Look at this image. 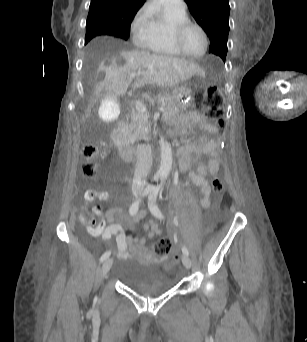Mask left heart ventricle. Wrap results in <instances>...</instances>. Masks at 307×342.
<instances>
[{"label":"left heart ventricle","mask_w":307,"mask_h":342,"mask_svg":"<svg viewBox=\"0 0 307 342\" xmlns=\"http://www.w3.org/2000/svg\"><path fill=\"white\" fill-rule=\"evenodd\" d=\"M186 51L192 56H199L204 50V36L197 25L190 26L184 36Z\"/></svg>","instance_id":"left-heart-ventricle-1"}]
</instances>
